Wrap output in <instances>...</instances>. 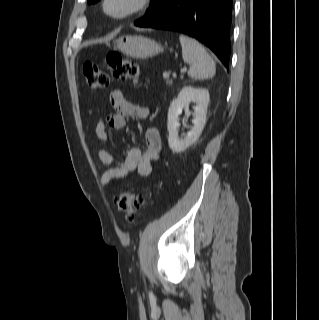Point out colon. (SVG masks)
<instances>
[{
	"label": "colon",
	"mask_w": 319,
	"mask_h": 320,
	"mask_svg": "<svg viewBox=\"0 0 319 320\" xmlns=\"http://www.w3.org/2000/svg\"><path fill=\"white\" fill-rule=\"evenodd\" d=\"M83 74L88 87L98 90L107 87L112 77L136 83L140 77V69L137 63L124 59L116 51H110L103 66L93 62L84 63ZM147 197L145 193L124 189L115 196L114 202L124 219L133 222Z\"/></svg>",
	"instance_id": "1"
}]
</instances>
